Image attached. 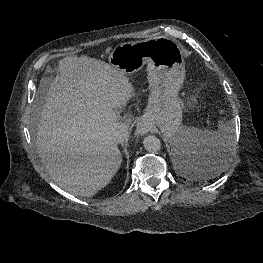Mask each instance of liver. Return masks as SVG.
Wrapping results in <instances>:
<instances>
[{
    "instance_id": "obj_1",
    "label": "liver",
    "mask_w": 263,
    "mask_h": 263,
    "mask_svg": "<svg viewBox=\"0 0 263 263\" xmlns=\"http://www.w3.org/2000/svg\"><path fill=\"white\" fill-rule=\"evenodd\" d=\"M133 96L124 72L104 61L86 55L60 60L39 112L36 142L57 185L79 197L108 185L122 163L111 132L120 119L118 108Z\"/></svg>"
}]
</instances>
